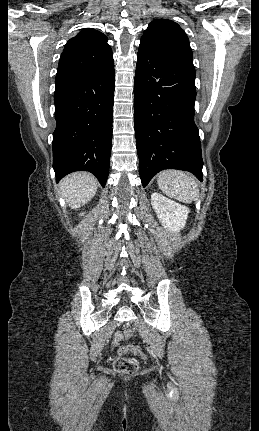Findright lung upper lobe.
<instances>
[{"instance_id":"cb5924a9","label":"right lung upper lobe","mask_w":259,"mask_h":431,"mask_svg":"<svg viewBox=\"0 0 259 431\" xmlns=\"http://www.w3.org/2000/svg\"><path fill=\"white\" fill-rule=\"evenodd\" d=\"M107 37L100 31L85 28L65 45L61 54L56 82L102 72L114 66Z\"/></svg>"}]
</instances>
